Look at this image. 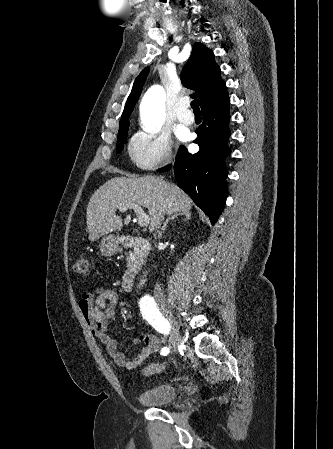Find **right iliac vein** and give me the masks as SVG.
Listing matches in <instances>:
<instances>
[{
  "instance_id": "obj_1",
  "label": "right iliac vein",
  "mask_w": 333,
  "mask_h": 449,
  "mask_svg": "<svg viewBox=\"0 0 333 449\" xmlns=\"http://www.w3.org/2000/svg\"><path fill=\"white\" fill-rule=\"evenodd\" d=\"M160 307H161L162 312L166 315V317L170 321L171 331H170V335H169L168 345L172 351H175L176 347L181 342L179 328L176 324H173V322L171 320V310L168 307V305L165 302H161Z\"/></svg>"
}]
</instances>
